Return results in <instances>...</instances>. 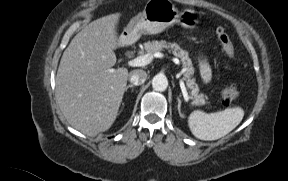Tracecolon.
Masks as SVG:
<instances>
[{
  "label": "colon",
  "mask_w": 288,
  "mask_h": 181,
  "mask_svg": "<svg viewBox=\"0 0 288 181\" xmlns=\"http://www.w3.org/2000/svg\"><path fill=\"white\" fill-rule=\"evenodd\" d=\"M215 35L220 43L224 53L228 57H233L234 55V47L233 44L228 36V34L224 31L223 28H216L215 29ZM239 95V91L236 86L229 85L222 89L221 91V99L222 103L225 105H228L230 102H232L234 99H236Z\"/></svg>",
  "instance_id": "colon-1"
}]
</instances>
